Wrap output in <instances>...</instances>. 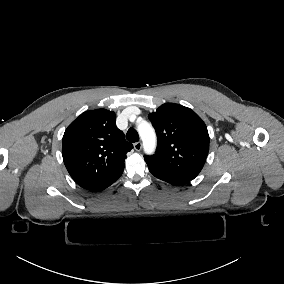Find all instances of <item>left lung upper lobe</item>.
I'll return each mask as SVG.
<instances>
[{
  "mask_svg": "<svg viewBox=\"0 0 284 284\" xmlns=\"http://www.w3.org/2000/svg\"><path fill=\"white\" fill-rule=\"evenodd\" d=\"M158 136L156 153L145 156L150 170L189 180L202 170L209 151L203 120L190 108L163 104L149 114Z\"/></svg>",
  "mask_w": 284,
  "mask_h": 284,
  "instance_id": "obj_1",
  "label": "left lung upper lobe"
}]
</instances>
